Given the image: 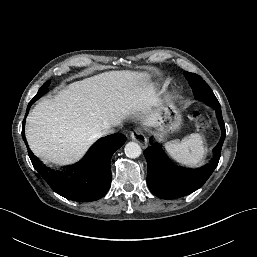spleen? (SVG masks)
<instances>
[{
    "instance_id": "3e777b00",
    "label": "spleen",
    "mask_w": 257,
    "mask_h": 257,
    "mask_svg": "<svg viewBox=\"0 0 257 257\" xmlns=\"http://www.w3.org/2000/svg\"><path fill=\"white\" fill-rule=\"evenodd\" d=\"M164 148L173 160L190 167L200 166L206 154L205 141L199 133H192L181 141L167 142Z\"/></svg>"
}]
</instances>
